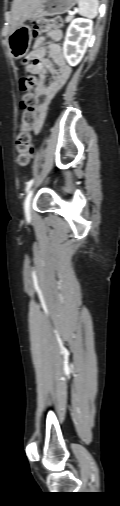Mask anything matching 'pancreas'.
<instances>
[{
  "mask_svg": "<svg viewBox=\"0 0 120 506\" xmlns=\"http://www.w3.org/2000/svg\"><path fill=\"white\" fill-rule=\"evenodd\" d=\"M71 20H72V16H70V15L67 16L66 19H65L66 22H70Z\"/></svg>",
  "mask_w": 120,
  "mask_h": 506,
  "instance_id": "obj_1",
  "label": "pancreas"
}]
</instances>
